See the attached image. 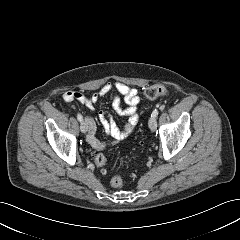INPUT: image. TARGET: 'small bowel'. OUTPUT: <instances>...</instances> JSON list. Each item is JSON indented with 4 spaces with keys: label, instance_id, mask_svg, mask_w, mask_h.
<instances>
[{
    "label": "small bowel",
    "instance_id": "1",
    "mask_svg": "<svg viewBox=\"0 0 240 240\" xmlns=\"http://www.w3.org/2000/svg\"><path fill=\"white\" fill-rule=\"evenodd\" d=\"M113 91H116L117 94L112 97V108L116 114L126 117L127 122L124 126L120 127L106 111H100L98 114L99 123L106 135L111 138L109 141H101L96 137L97 127L95 120L91 117H86L85 122L88 127L87 141L97 150H103L115 145L134 131L138 123V104L140 102L138 90L126 83L117 81L104 84L90 96H86L78 91H68L63 95L65 102L77 101L85 105L88 109L94 110L99 99ZM120 96L127 107L122 106Z\"/></svg>",
    "mask_w": 240,
    "mask_h": 240
}]
</instances>
